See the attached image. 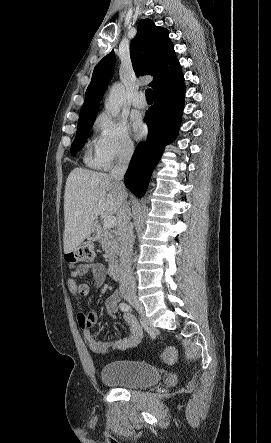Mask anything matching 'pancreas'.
Here are the masks:
<instances>
[{"instance_id":"cf45deb5","label":"pancreas","mask_w":271,"mask_h":443,"mask_svg":"<svg viewBox=\"0 0 271 443\" xmlns=\"http://www.w3.org/2000/svg\"><path fill=\"white\" fill-rule=\"evenodd\" d=\"M99 241L103 249H105L108 257H116V253H118L119 249V243L115 231H112L111 233L109 229L104 227V229H101Z\"/></svg>"}]
</instances>
